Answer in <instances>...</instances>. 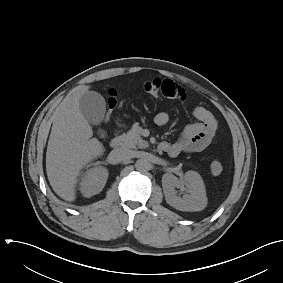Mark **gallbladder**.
<instances>
[{
	"label": "gallbladder",
	"mask_w": 283,
	"mask_h": 283,
	"mask_svg": "<svg viewBox=\"0 0 283 283\" xmlns=\"http://www.w3.org/2000/svg\"><path fill=\"white\" fill-rule=\"evenodd\" d=\"M80 110L86 120L92 125H99L105 116L106 103L101 94L95 91H87L79 101ZM103 133L101 136L103 137Z\"/></svg>",
	"instance_id": "bac80fb5"
}]
</instances>
